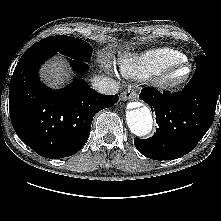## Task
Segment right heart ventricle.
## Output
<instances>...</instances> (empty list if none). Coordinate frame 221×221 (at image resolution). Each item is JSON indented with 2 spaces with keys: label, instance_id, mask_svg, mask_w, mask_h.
<instances>
[{
  "label": "right heart ventricle",
  "instance_id": "e07e8e85",
  "mask_svg": "<svg viewBox=\"0 0 221 221\" xmlns=\"http://www.w3.org/2000/svg\"><path fill=\"white\" fill-rule=\"evenodd\" d=\"M185 61L180 51L157 48L140 54H125L119 60L121 73L131 79H143Z\"/></svg>",
  "mask_w": 221,
  "mask_h": 221
}]
</instances>
